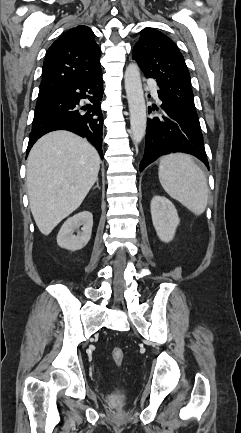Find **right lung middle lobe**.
Masks as SVG:
<instances>
[{
	"instance_id": "1",
	"label": "right lung middle lobe",
	"mask_w": 241,
	"mask_h": 433,
	"mask_svg": "<svg viewBox=\"0 0 241 433\" xmlns=\"http://www.w3.org/2000/svg\"><path fill=\"white\" fill-rule=\"evenodd\" d=\"M45 97H46V95H40V96H38L37 103L40 102V101H42V100H44Z\"/></svg>"
}]
</instances>
